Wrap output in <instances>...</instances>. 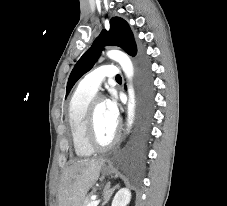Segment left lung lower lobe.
Masks as SVG:
<instances>
[{
    "label": "left lung lower lobe",
    "instance_id": "1",
    "mask_svg": "<svg viewBox=\"0 0 227 206\" xmlns=\"http://www.w3.org/2000/svg\"><path fill=\"white\" fill-rule=\"evenodd\" d=\"M139 68L142 88V109L138 144H143L147 141L150 135V127L153 115V85L149 65L143 56H140Z\"/></svg>",
    "mask_w": 227,
    "mask_h": 206
}]
</instances>
